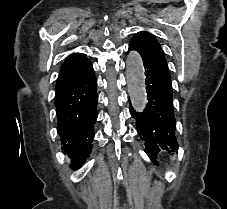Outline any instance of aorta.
Returning <instances> with one entry per match:
<instances>
[{
  "mask_svg": "<svg viewBox=\"0 0 227 209\" xmlns=\"http://www.w3.org/2000/svg\"><path fill=\"white\" fill-rule=\"evenodd\" d=\"M128 92L133 107L143 111L147 103L143 61L137 51H131L126 60Z\"/></svg>",
  "mask_w": 227,
  "mask_h": 209,
  "instance_id": "obj_1",
  "label": "aorta"
}]
</instances>
